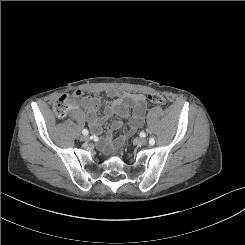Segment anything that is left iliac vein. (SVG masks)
<instances>
[{
	"label": "left iliac vein",
	"mask_w": 245,
	"mask_h": 245,
	"mask_svg": "<svg viewBox=\"0 0 245 245\" xmlns=\"http://www.w3.org/2000/svg\"><path fill=\"white\" fill-rule=\"evenodd\" d=\"M137 144L140 146L146 145L147 144V140L145 138H138L137 139Z\"/></svg>",
	"instance_id": "4c4485c4"
}]
</instances>
